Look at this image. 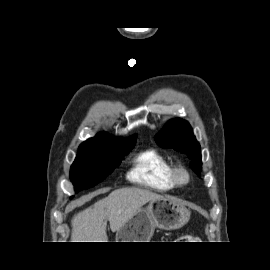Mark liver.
<instances>
[{
  "label": "liver",
  "instance_id": "obj_1",
  "mask_svg": "<svg viewBox=\"0 0 270 270\" xmlns=\"http://www.w3.org/2000/svg\"><path fill=\"white\" fill-rule=\"evenodd\" d=\"M163 196L136 187L120 188L92 206L75 214L71 220L72 242H107L106 226L112 232L124 226L146 203Z\"/></svg>",
  "mask_w": 270,
  "mask_h": 270
}]
</instances>
